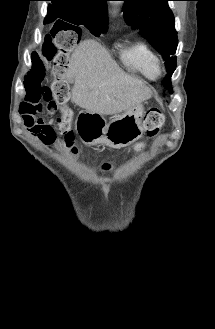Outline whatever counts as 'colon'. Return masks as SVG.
I'll list each match as a JSON object with an SVG mask.
<instances>
[{
	"label": "colon",
	"instance_id": "5ec220e1",
	"mask_svg": "<svg viewBox=\"0 0 215 329\" xmlns=\"http://www.w3.org/2000/svg\"><path fill=\"white\" fill-rule=\"evenodd\" d=\"M82 29V25H69V19H52V25H48V31L39 32V37L47 38V41L34 55L30 56L32 72L52 74H28V81L24 83L27 92L20 108L23 116L59 114L52 128L56 134L65 139L68 146L74 144L75 137L72 128L73 114L65 104L68 97L65 75L69 64V54L73 49L81 48ZM163 124L164 115L159 108H150L145 113L143 127L148 137H155ZM46 129H50V126ZM140 147L141 144L137 145V148Z\"/></svg>",
	"mask_w": 215,
	"mask_h": 329
}]
</instances>
